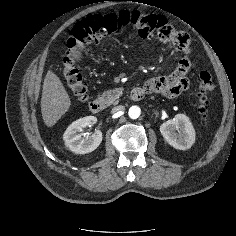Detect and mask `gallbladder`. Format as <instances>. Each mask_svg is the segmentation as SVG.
I'll list each match as a JSON object with an SVG mask.
<instances>
[{
  "instance_id": "obj_1",
  "label": "gallbladder",
  "mask_w": 236,
  "mask_h": 236,
  "mask_svg": "<svg viewBox=\"0 0 236 236\" xmlns=\"http://www.w3.org/2000/svg\"><path fill=\"white\" fill-rule=\"evenodd\" d=\"M73 58H74L76 61H78V60L81 59V54H80L78 51H75V52L73 53Z\"/></svg>"
}]
</instances>
